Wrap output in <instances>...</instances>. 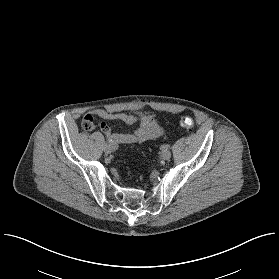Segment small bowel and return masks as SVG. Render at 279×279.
<instances>
[{"instance_id":"small-bowel-1","label":"small bowel","mask_w":279,"mask_h":279,"mask_svg":"<svg viewBox=\"0 0 279 279\" xmlns=\"http://www.w3.org/2000/svg\"><path fill=\"white\" fill-rule=\"evenodd\" d=\"M95 117L110 121H122L128 124L138 123L139 127L135 131L126 133L112 132L110 127L105 123L100 125V130L110 140L111 144L116 146L120 144L140 143L149 139L158 138L163 132L158 118L151 114L132 115L115 113L106 109H94L85 114L83 124L86 123L93 129V120Z\"/></svg>"}]
</instances>
